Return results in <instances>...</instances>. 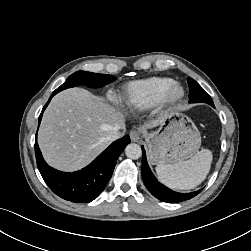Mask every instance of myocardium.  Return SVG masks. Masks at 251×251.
Instances as JSON below:
<instances>
[{
    "instance_id": "myocardium-1",
    "label": "myocardium",
    "mask_w": 251,
    "mask_h": 251,
    "mask_svg": "<svg viewBox=\"0 0 251 251\" xmlns=\"http://www.w3.org/2000/svg\"><path fill=\"white\" fill-rule=\"evenodd\" d=\"M184 96V87L178 82H173L163 91L158 104L166 108L174 107L183 100Z\"/></svg>"
}]
</instances>
